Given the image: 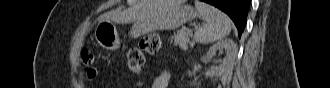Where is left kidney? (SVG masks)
<instances>
[{"label": "left kidney", "mask_w": 330, "mask_h": 88, "mask_svg": "<svg viewBox=\"0 0 330 88\" xmlns=\"http://www.w3.org/2000/svg\"><path fill=\"white\" fill-rule=\"evenodd\" d=\"M220 49L225 50L226 57L220 61L221 62L220 65L212 67L207 70V72L205 73L207 77L210 78L220 77L234 65L235 58L237 55V46L231 39H224L212 45L209 48L204 59L205 60L212 59L215 56L216 51Z\"/></svg>", "instance_id": "obj_1"}]
</instances>
